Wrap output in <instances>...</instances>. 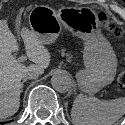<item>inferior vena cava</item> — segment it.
Wrapping results in <instances>:
<instances>
[{"instance_id": "1", "label": "inferior vena cava", "mask_w": 125, "mask_h": 125, "mask_svg": "<svg viewBox=\"0 0 125 125\" xmlns=\"http://www.w3.org/2000/svg\"><path fill=\"white\" fill-rule=\"evenodd\" d=\"M38 76H39V74H38L37 72L32 71V72H28V73L24 74V75L22 76V79H23V80L35 79V78H37Z\"/></svg>"}]
</instances>
